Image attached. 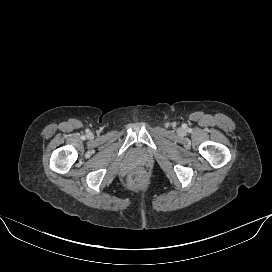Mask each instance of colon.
I'll return each mask as SVG.
<instances>
[{"label":"colon","mask_w":272,"mask_h":272,"mask_svg":"<svg viewBox=\"0 0 272 272\" xmlns=\"http://www.w3.org/2000/svg\"><path fill=\"white\" fill-rule=\"evenodd\" d=\"M146 180V173L142 169L133 171L128 178V183L132 187H138L142 185Z\"/></svg>","instance_id":"obj_1"}]
</instances>
